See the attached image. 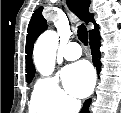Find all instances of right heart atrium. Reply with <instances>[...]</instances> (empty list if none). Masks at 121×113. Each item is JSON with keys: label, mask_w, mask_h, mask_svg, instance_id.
<instances>
[{"label": "right heart atrium", "mask_w": 121, "mask_h": 113, "mask_svg": "<svg viewBox=\"0 0 121 113\" xmlns=\"http://www.w3.org/2000/svg\"><path fill=\"white\" fill-rule=\"evenodd\" d=\"M36 94L49 113H70L78 108L77 102L61 89L53 77L41 78L36 84Z\"/></svg>", "instance_id": "right-heart-atrium-1"}]
</instances>
